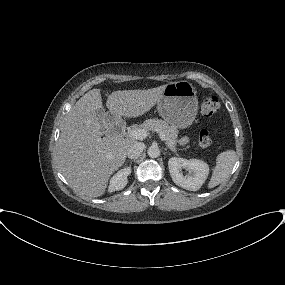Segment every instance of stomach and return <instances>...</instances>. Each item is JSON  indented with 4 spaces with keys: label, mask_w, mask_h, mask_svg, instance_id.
Returning <instances> with one entry per match:
<instances>
[{
    "label": "stomach",
    "mask_w": 285,
    "mask_h": 285,
    "mask_svg": "<svg viewBox=\"0 0 285 285\" xmlns=\"http://www.w3.org/2000/svg\"><path fill=\"white\" fill-rule=\"evenodd\" d=\"M195 87L188 81L171 82L166 85L157 110L161 117L178 129L187 128L198 111Z\"/></svg>",
    "instance_id": "stomach-1"
}]
</instances>
